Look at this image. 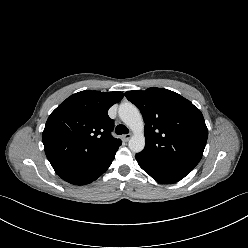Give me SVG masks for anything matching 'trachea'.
Wrapping results in <instances>:
<instances>
[{"label":"trachea","mask_w":248,"mask_h":248,"mask_svg":"<svg viewBox=\"0 0 248 248\" xmlns=\"http://www.w3.org/2000/svg\"><path fill=\"white\" fill-rule=\"evenodd\" d=\"M115 133L117 135L128 134L129 133V129L125 125L120 124V125H118L115 128Z\"/></svg>","instance_id":"3493384b"}]
</instances>
